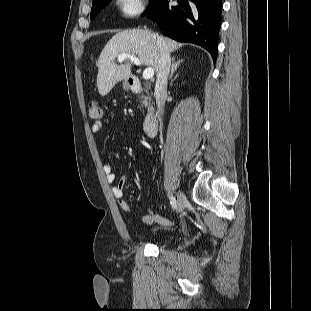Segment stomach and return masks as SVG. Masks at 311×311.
I'll list each match as a JSON object with an SVG mask.
<instances>
[{"label": "stomach", "instance_id": "1", "mask_svg": "<svg viewBox=\"0 0 311 311\" xmlns=\"http://www.w3.org/2000/svg\"><path fill=\"white\" fill-rule=\"evenodd\" d=\"M129 86H130V84H129V82H128V79L124 80V81H123V89H124V90H128V89H129Z\"/></svg>", "mask_w": 311, "mask_h": 311}]
</instances>
